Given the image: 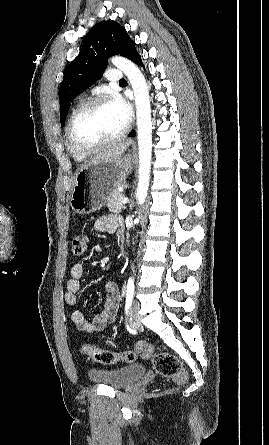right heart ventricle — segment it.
<instances>
[{
	"label": "right heart ventricle",
	"instance_id": "1",
	"mask_svg": "<svg viewBox=\"0 0 269 445\" xmlns=\"http://www.w3.org/2000/svg\"><path fill=\"white\" fill-rule=\"evenodd\" d=\"M75 110H76V109H75ZM75 110H74V111H75ZM68 149H69V151H70L72 157H73L76 161H83V160L87 157L86 155H80V154H77V153L73 152L69 147H68Z\"/></svg>",
	"mask_w": 269,
	"mask_h": 445
}]
</instances>
